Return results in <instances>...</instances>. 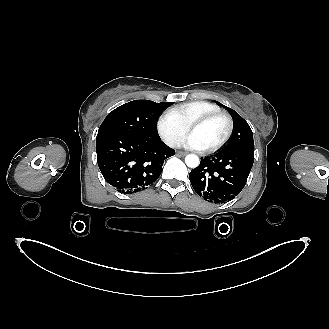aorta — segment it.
Segmentation results:
<instances>
[{
  "instance_id": "aorta-1",
  "label": "aorta",
  "mask_w": 329,
  "mask_h": 329,
  "mask_svg": "<svg viewBox=\"0 0 329 329\" xmlns=\"http://www.w3.org/2000/svg\"><path fill=\"white\" fill-rule=\"evenodd\" d=\"M185 163L189 168H196L200 164L199 157L195 154H189L185 157Z\"/></svg>"
}]
</instances>
